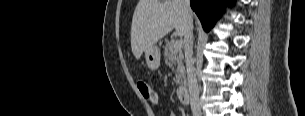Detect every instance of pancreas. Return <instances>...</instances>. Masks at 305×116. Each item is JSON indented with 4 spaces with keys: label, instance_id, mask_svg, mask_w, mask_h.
Wrapping results in <instances>:
<instances>
[{
    "label": "pancreas",
    "instance_id": "obj_1",
    "mask_svg": "<svg viewBox=\"0 0 305 116\" xmlns=\"http://www.w3.org/2000/svg\"><path fill=\"white\" fill-rule=\"evenodd\" d=\"M174 42L167 41L164 47L165 63L170 67L174 65L176 73V84L181 85L185 81V67L183 64L182 49L175 50L173 48ZM174 69V68H173Z\"/></svg>",
    "mask_w": 305,
    "mask_h": 116
}]
</instances>
